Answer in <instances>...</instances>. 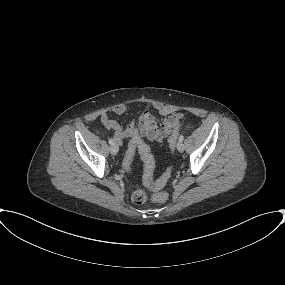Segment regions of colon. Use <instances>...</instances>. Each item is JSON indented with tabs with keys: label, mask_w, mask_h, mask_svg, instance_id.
I'll return each instance as SVG.
<instances>
[{
	"label": "colon",
	"mask_w": 285,
	"mask_h": 285,
	"mask_svg": "<svg viewBox=\"0 0 285 285\" xmlns=\"http://www.w3.org/2000/svg\"><path fill=\"white\" fill-rule=\"evenodd\" d=\"M177 137H178L177 131L173 132L169 136L168 144H169L170 149L174 148L175 143L177 141ZM136 150L139 151L141 159L143 161L144 182L146 184H152L154 189L156 190L161 189L170 179L171 174H172V169L168 168L158 180L154 181L153 180V172H154V167H155L154 157L150 149L146 145L142 144L141 142H137V141H131L128 146V149H127V152L124 158V166L126 168H129ZM148 198H149L148 193L143 189L136 190L132 195L133 201L137 204H144L145 202H147ZM151 199L156 204H164L167 200V195L165 193L159 192V193L153 194L151 196Z\"/></svg>",
	"instance_id": "colon-1"
}]
</instances>
